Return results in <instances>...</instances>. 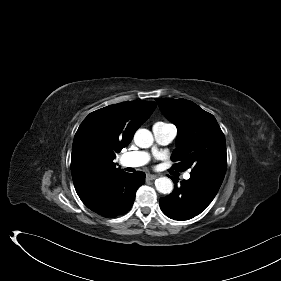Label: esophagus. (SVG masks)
<instances>
[{"label": "esophagus", "mask_w": 281, "mask_h": 281, "mask_svg": "<svg viewBox=\"0 0 281 281\" xmlns=\"http://www.w3.org/2000/svg\"><path fill=\"white\" fill-rule=\"evenodd\" d=\"M156 178H157L156 175H152V174H147V175H146V180H154V179H156Z\"/></svg>", "instance_id": "obj_1"}]
</instances>
